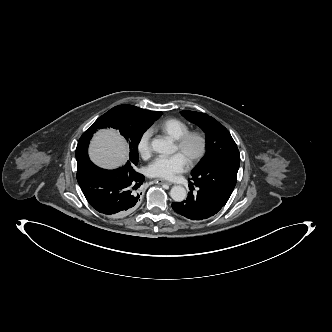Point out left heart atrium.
I'll use <instances>...</instances> for the list:
<instances>
[{
  "mask_svg": "<svg viewBox=\"0 0 332 332\" xmlns=\"http://www.w3.org/2000/svg\"><path fill=\"white\" fill-rule=\"evenodd\" d=\"M187 168L186 159L179 153L172 156H159L147 167V174L152 178L173 179Z\"/></svg>",
  "mask_w": 332,
  "mask_h": 332,
  "instance_id": "1",
  "label": "left heart atrium"
}]
</instances>
